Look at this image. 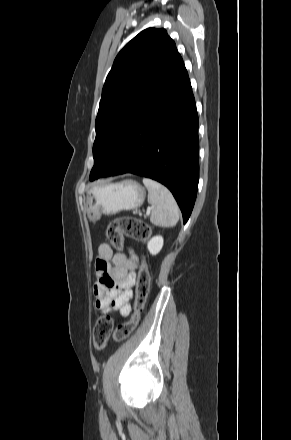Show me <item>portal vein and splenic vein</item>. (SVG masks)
<instances>
[{
    "instance_id": "1",
    "label": "portal vein and splenic vein",
    "mask_w": 291,
    "mask_h": 440,
    "mask_svg": "<svg viewBox=\"0 0 291 440\" xmlns=\"http://www.w3.org/2000/svg\"><path fill=\"white\" fill-rule=\"evenodd\" d=\"M150 213V209L147 210V215Z\"/></svg>"
}]
</instances>
